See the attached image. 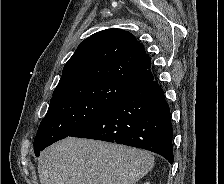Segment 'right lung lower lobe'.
I'll return each mask as SVG.
<instances>
[{"label": "right lung lower lobe", "mask_w": 224, "mask_h": 184, "mask_svg": "<svg viewBox=\"0 0 224 184\" xmlns=\"http://www.w3.org/2000/svg\"><path fill=\"white\" fill-rule=\"evenodd\" d=\"M69 136L142 148L171 164L174 161L170 109L155 80L131 87L102 114Z\"/></svg>", "instance_id": "1"}]
</instances>
